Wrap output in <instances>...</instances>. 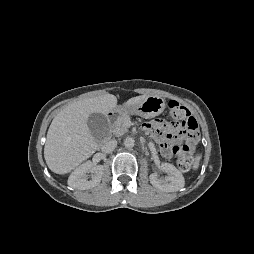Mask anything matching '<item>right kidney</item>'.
<instances>
[{"label": "right kidney", "instance_id": "obj_1", "mask_svg": "<svg viewBox=\"0 0 254 254\" xmlns=\"http://www.w3.org/2000/svg\"><path fill=\"white\" fill-rule=\"evenodd\" d=\"M103 165H94L91 161L76 168L68 178V185L74 189L86 190L97 186L102 178ZM92 173L89 179L87 173Z\"/></svg>", "mask_w": 254, "mask_h": 254}]
</instances>
